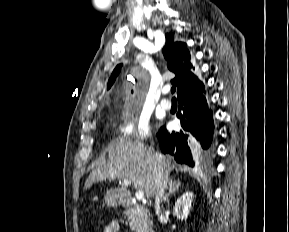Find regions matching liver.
<instances>
[{
	"mask_svg": "<svg viewBox=\"0 0 289 232\" xmlns=\"http://www.w3.org/2000/svg\"><path fill=\"white\" fill-rule=\"evenodd\" d=\"M108 159L96 165L85 182L84 189H89L96 182L107 179L121 182L128 179L135 189L143 191L149 199L154 196L155 154L160 155L162 167L169 173L172 169L171 159L152 148H147L138 140L132 141L119 137L110 142L106 148Z\"/></svg>",
	"mask_w": 289,
	"mask_h": 232,
	"instance_id": "liver-1",
	"label": "liver"
}]
</instances>
